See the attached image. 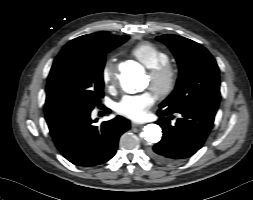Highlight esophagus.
<instances>
[{
  "mask_svg": "<svg viewBox=\"0 0 253 200\" xmlns=\"http://www.w3.org/2000/svg\"><path fill=\"white\" fill-rule=\"evenodd\" d=\"M131 125H132V127H141L142 126V124L135 123V122H133Z\"/></svg>",
  "mask_w": 253,
  "mask_h": 200,
  "instance_id": "34e87169",
  "label": "esophagus"
}]
</instances>
